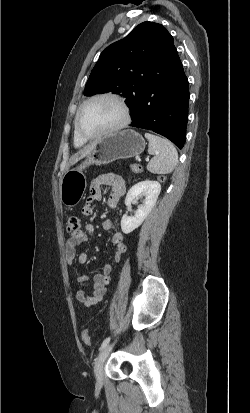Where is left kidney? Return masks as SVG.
Here are the masks:
<instances>
[{
	"mask_svg": "<svg viewBox=\"0 0 250 413\" xmlns=\"http://www.w3.org/2000/svg\"><path fill=\"white\" fill-rule=\"evenodd\" d=\"M161 191V185L157 181L145 180L132 186L125 198V205L130 206L134 200L143 195L145 199L140 205L134 216L124 214L121 219V229L125 234L131 233L138 228L146 219L156 204L157 198Z\"/></svg>",
	"mask_w": 250,
	"mask_h": 413,
	"instance_id": "obj_1",
	"label": "left kidney"
}]
</instances>
